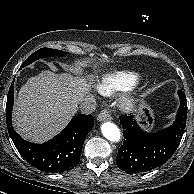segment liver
<instances>
[{"label": "liver", "mask_w": 194, "mask_h": 194, "mask_svg": "<svg viewBox=\"0 0 194 194\" xmlns=\"http://www.w3.org/2000/svg\"><path fill=\"white\" fill-rule=\"evenodd\" d=\"M89 78L92 80V76ZM91 80L51 71L29 78L15 100L13 125L17 132L32 142H44L56 135L91 90Z\"/></svg>", "instance_id": "6515ba94"}]
</instances>
